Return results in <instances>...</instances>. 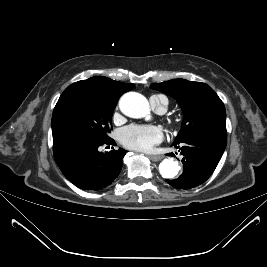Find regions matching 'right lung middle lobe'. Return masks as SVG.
Segmentation results:
<instances>
[{
    "label": "right lung middle lobe",
    "instance_id": "1",
    "mask_svg": "<svg viewBox=\"0 0 267 267\" xmlns=\"http://www.w3.org/2000/svg\"><path fill=\"white\" fill-rule=\"evenodd\" d=\"M118 99L86 81L67 87L52 115L53 145L71 140L103 142L110 139L108 133Z\"/></svg>",
    "mask_w": 267,
    "mask_h": 267
}]
</instances>
